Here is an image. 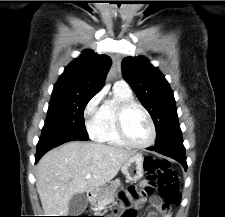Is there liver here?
<instances>
[{
    "label": "liver",
    "mask_w": 225,
    "mask_h": 217,
    "mask_svg": "<svg viewBox=\"0 0 225 217\" xmlns=\"http://www.w3.org/2000/svg\"><path fill=\"white\" fill-rule=\"evenodd\" d=\"M134 154L122 148L82 141L50 150L37 164L36 188L44 214L68 216L69 201L74 194L110 182Z\"/></svg>",
    "instance_id": "liver-1"
}]
</instances>
